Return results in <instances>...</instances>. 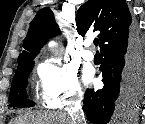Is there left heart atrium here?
Here are the masks:
<instances>
[{
    "mask_svg": "<svg viewBox=\"0 0 145 124\" xmlns=\"http://www.w3.org/2000/svg\"><path fill=\"white\" fill-rule=\"evenodd\" d=\"M90 78H91V72H90V71H86V72H85V79H86L87 81H89Z\"/></svg>",
    "mask_w": 145,
    "mask_h": 124,
    "instance_id": "left-heart-atrium-1",
    "label": "left heart atrium"
}]
</instances>
